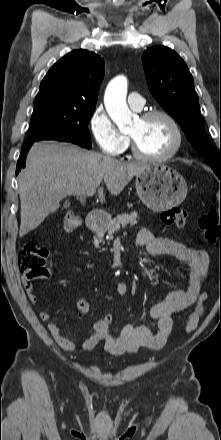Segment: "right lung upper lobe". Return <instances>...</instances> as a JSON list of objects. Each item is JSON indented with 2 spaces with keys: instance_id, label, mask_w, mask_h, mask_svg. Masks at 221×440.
<instances>
[{
  "instance_id": "right-lung-upper-lobe-1",
  "label": "right lung upper lobe",
  "mask_w": 221,
  "mask_h": 440,
  "mask_svg": "<svg viewBox=\"0 0 221 440\" xmlns=\"http://www.w3.org/2000/svg\"><path fill=\"white\" fill-rule=\"evenodd\" d=\"M103 77L104 61L100 56L83 49L74 50L50 68L35 101L95 107Z\"/></svg>"
}]
</instances>
